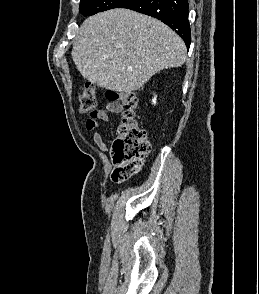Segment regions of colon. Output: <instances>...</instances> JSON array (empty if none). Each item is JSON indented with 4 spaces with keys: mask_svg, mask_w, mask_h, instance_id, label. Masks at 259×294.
<instances>
[{
    "mask_svg": "<svg viewBox=\"0 0 259 294\" xmlns=\"http://www.w3.org/2000/svg\"><path fill=\"white\" fill-rule=\"evenodd\" d=\"M110 101H119L123 106L122 121L113 143L112 155L114 181H126L139 172L143 160L149 154L151 145L145 130L141 127L138 116V98L133 92L109 91ZM97 99L95 88L91 83L85 84L79 96L81 113L93 114L96 111Z\"/></svg>",
    "mask_w": 259,
    "mask_h": 294,
    "instance_id": "1",
    "label": "colon"
}]
</instances>
